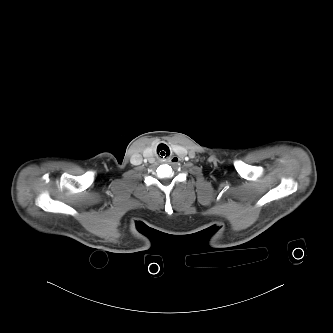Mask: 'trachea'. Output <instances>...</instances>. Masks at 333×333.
Returning a JSON list of instances; mask_svg holds the SVG:
<instances>
[{"mask_svg":"<svg viewBox=\"0 0 333 333\" xmlns=\"http://www.w3.org/2000/svg\"><path fill=\"white\" fill-rule=\"evenodd\" d=\"M161 150H165L166 152H167V155H169L170 154V150H169V148H168V146L167 145H165V144H160L159 146H158V148H157V152H159V151H161ZM163 152V151H162ZM161 152V153H162ZM159 154V153H158ZM165 154V153H164Z\"/></svg>","mask_w":333,"mask_h":333,"instance_id":"trachea-1","label":"trachea"}]
</instances>
